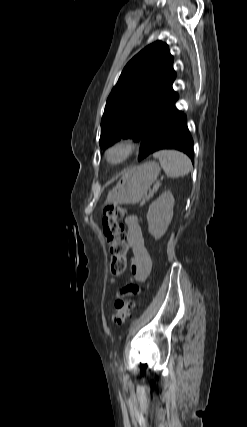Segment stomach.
<instances>
[{"label": "stomach", "instance_id": "0dacf381", "mask_svg": "<svg viewBox=\"0 0 247 427\" xmlns=\"http://www.w3.org/2000/svg\"><path fill=\"white\" fill-rule=\"evenodd\" d=\"M160 173L159 165L149 161L122 172L117 185L109 191L106 204H137L145 199Z\"/></svg>", "mask_w": 247, "mask_h": 427}]
</instances>
